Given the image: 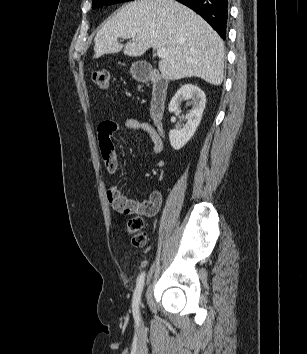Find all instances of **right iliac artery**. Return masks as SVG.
Segmentation results:
<instances>
[{"label": "right iliac artery", "instance_id": "1", "mask_svg": "<svg viewBox=\"0 0 307 354\" xmlns=\"http://www.w3.org/2000/svg\"><path fill=\"white\" fill-rule=\"evenodd\" d=\"M144 279H145V272L141 273L140 276L138 277L136 289L133 295L132 310L136 322L139 321V303H140L141 294L143 290Z\"/></svg>", "mask_w": 307, "mask_h": 354}]
</instances>
